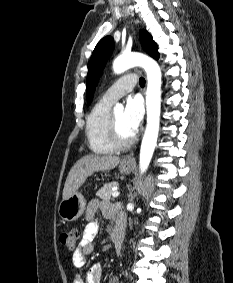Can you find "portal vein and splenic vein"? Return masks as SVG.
Returning <instances> with one entry per match:
<instances>
[{
	"label": "portal vein and splenic vein",
	"mask_w": 233,
	"mask_h": 283,
	"mask_svg": "<svg viewBox=\"0 0 233 283\" xmlns=\"http://www.w3.org/2000/svg\"><path fill=\"white\" fill-rule=\"evenodd\" d=\"M120 195V192L119 191H114L113 193H112V197H118Z\"/></svg>",
	"instance_id": "18ae733b"
}]
</instances>
